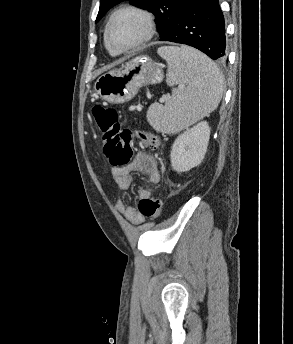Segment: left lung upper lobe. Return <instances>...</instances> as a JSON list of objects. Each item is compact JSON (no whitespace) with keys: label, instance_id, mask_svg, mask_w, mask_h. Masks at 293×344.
<instances>
[{"label":"left lung upper lobe","instance_id":"left-lung-upper-lobe-1","mask_svg":"<svg viewBox=\"0 0 293 344\" xmlns=\"http://www.w3.org/2000/svg\"><path fill=\"white\" fill-rule=\"evenodd\" d=\"M122 1H130L132 5L152 12L156 16L155 22L160 37H163L173 26L186 0H100L96 22Z\"/></svg>","mask_w":293,"mask_h":344}]
</instances>
